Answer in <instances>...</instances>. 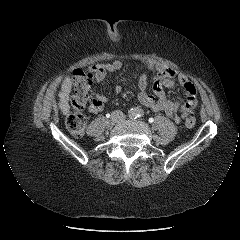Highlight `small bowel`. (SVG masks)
<instances>
[{
  "mask_svg": "<svg viewBox=\"0 0 240 240\" xmlns=\"http://www.w3.org/2000/svg\"><path fill=\"white\" fill-rule=\"evenodd\" d=\"M148 70L156 74L153 84V94L147 90L148 77L147 74L142 73L139 78V101L154 112H163L171 117L176 123H180L186 116L193 112L197 106V92L193 83L189 81L186 75L177 72L173 69L167 68L162 64L155 62L145 63ZM122 67L120 60H115L110 63H101L92 66L91 70L95 73V81L98 83L102 81L108 72H115ZM177 80L184 89L185 101H172L167 98L163 88H173ZM114 93L119 95L121 87L116 86ZM90 98V111L92 113H101L104 110V105L107 102V97L98 93L92 88L88 89Z\"/></svg>",
  "mask_w": 240,
  "mask_h": 240,
  "instance_id": "c3829d8e",
  "label": "small bowel"
}]
</instances>
